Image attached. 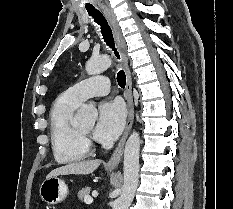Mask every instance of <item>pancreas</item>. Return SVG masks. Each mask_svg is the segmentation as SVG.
<instances>
[{
  "label": "pancreas",
  "instance_id": "pancreas-1",
  "mask_svg": "<svg viewBox=\"0 0 233 209\" xmlns=\"http://www.w3.org/2000/svg\"><path fill=\"white\" fill-rule=\"evenodd\" d=\"M90 191H91V188L90 187H85V188H82L81 190L78 191V198L83 201L85 199V197H89L90 195Z\"/></svg>",
  "mask_w": 233,
  "mask_h": 209
}]
</instances>
